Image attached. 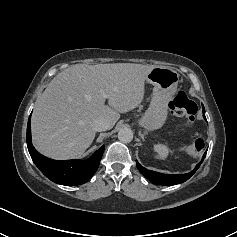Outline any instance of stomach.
Instances as JSON below:
<instances>
[{"label":"stomach","mask_w":237,"mask_h":237,"mask_svg":"<svg viewBox=\"0 0 237 237\" xmlns=\"http://www.w3.org/2000/svg\"><path fill=\"white\" fill-rule=\"evenodd\" d=\"M146 81L154 86L153 94L150 106L138 124L152 131L161 128L167 119L168 101L177 88L179 74L172 68L155 66L147 74Z\"/></svg>","instance_id":"0dacf381"}]
</instances>
